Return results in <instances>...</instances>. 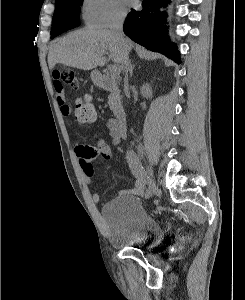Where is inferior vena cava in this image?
I'll use <instances>...</instances> for the list:
<instances>
[{"mask_svg":"<svg viewBox=\"0 0 245 300\" xmlns=\"http://www.w3.org/2000/svg\"><path fill=\"white\" fill-rule=\"evenodd\" d=\"M126 14L125 13H119L114 18L112 25H111V31L116 35L117 39L121 42L124 52V70L126 73L125 78H127V72L129 71V48H128V41L124 38L123 34V23L125 20Z\"/></svg>","mask_w":245,"mask_h":300,"instance_id":"602c4592","label":"inferior vena cava"}]
</instances>
